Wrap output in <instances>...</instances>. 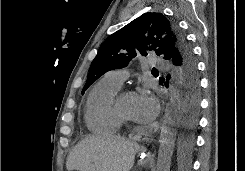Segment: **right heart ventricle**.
I'll return each mask as SVG.
<instances>
[{
	"instance_id": "1",
	"label": "right heart ventricle",
	"mask_w": 245,
	"mask_h": 171,
	"mask_svg": "<svg viewBox=\"0 0 245 171\" xmlns=\"http://www.w3.org/2000/svg\"><path fill=\"white\" fill-rule=\"evenodd\" d=\"M119 88L101 79L91 89L85 104V122L94 134H116L122 122L117 117L113 101Z\"/></svg>"
}]
</instances>
